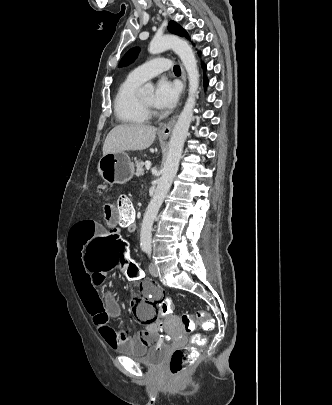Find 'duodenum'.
Returning <instances> with one entry per match:
<instances>
[{
	"instance_id": "410a0bca",
	"label": "duodenum",
	"mask_w": 332,
	"mask_h": 405,
	"mask_svg": "<svg viewBox=\"0 0 332 405\" xmlns=\"http://www.w3.org/2000/svg\"><path fill=\"white\" fill-rule=\"evenodd\" d=\"M126 226L130 232H135L138 227V224L135 218H132L126 223Z\"/></svg>"
}]
</instances>
